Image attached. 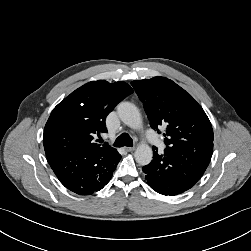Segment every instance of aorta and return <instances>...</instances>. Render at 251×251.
<instances>
[{
  "instance_id": "1",
  "label": "aorta",
  "mask_w": 251,
  "mask_h": 251,
  "mask_svg": "<svg viewBox=\"0 0 251 251\" xmlns=\"http://www.w3.org/2000/svg\"><path fill=\"white\" fill-rule=\"evenodd\" d=\"M121 121L127 126L138 129L142 127V118L138 108L130 102H121L117 106ZM135 160L141 165H148L153 157L152 149L147 144H140L135 151Z\"/></svg>"
}]
</instances>
